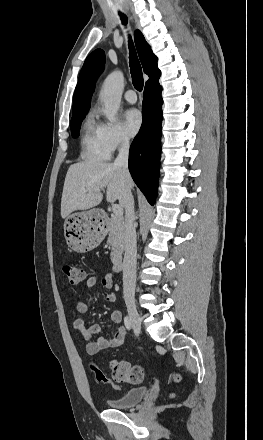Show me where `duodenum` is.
Masks as SVG:
<instances>
[{"instance_id":"410a0bca","label":"duodenum","mask_w":263,"mask_h":440,"mask_svg":"<svg viewBox=\"0 0 263 440\" xmlns=\"http://www.w3.org/2000/svg\"><path fill=\"white\" fill-rule=\"evenodd\" d=\"M114 268H115L116 272H120V271L123 270V268H124V259L122 257L116 260Z\"/></svg>"}]
</instances>
